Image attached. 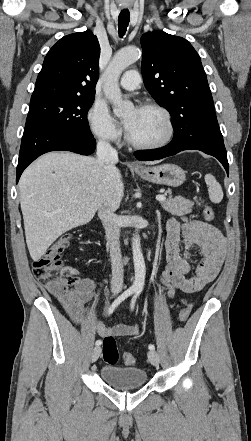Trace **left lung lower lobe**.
I'll use <instances>...</instances> for the list:
<instances>
[{"mask_svg": "<svg viewBox=\"0 0 251 441\" xmlns=\"http://www.w3.org/2000/svg\"><path fill=\"white\" fill-rule=\"evenodd\" d=\"M200 150L216 157L224 166L227 175L229 165L223 137L216 116L198 114L174 130L172 141L165 147L136 152L142 161L158 160L184 150Z\"/></svg>", "mask_w": 251, "mask_h": 441, "instance_id": "obj_1", "label": "left lung lower lobe"}]
</instances>
